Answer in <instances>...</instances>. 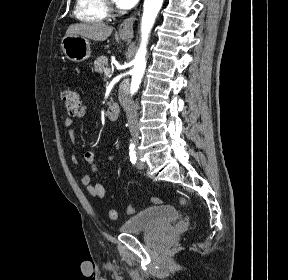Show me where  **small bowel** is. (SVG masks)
<instances>
[{
  "instance_id": "1",
  "label": "small bowel",
  "mask_w": 288,
  "mask_h": 280,
  "mask_svg": "<svg viewBox=\"0 0 288 280\" xmlns=\"http://www.w3.org/2000/svg\"><path fill=\"white\" fill-rule=\"evenodd\" d=\"M88 112V107L83 105L80 107L79 111L75 116L81 118L84 117ZM64 125L69 128L70 134L74 133V121L72 118L68 117L64 120ZM113 158V155L110 156V159ZM72 162L77 164L78 159L76 155L72 156ZM85 162L88 166V172L83 174L80 179L82 185H84L88 191V193L94 197L99 199H105L108 197V190L104 187V185L98 180V166L95 160V157L92 153H86Z\"/></svg>"
}]
</instances>
